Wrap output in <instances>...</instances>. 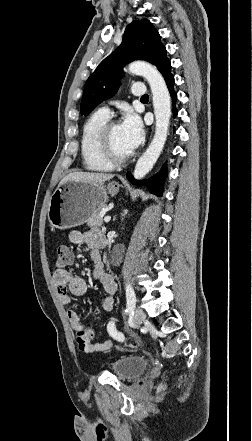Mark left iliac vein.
I'll return each mask as SVG.
<instances>
[{
    "mask_svg": "<svg viewBox=\"0 0 252 441\" xmlns=\"http://www.w3.org/2000/svg\"><path fill=\"white\" fill-rule=\"evenodd\" d=\"M145 318V313L140 307L134 309L133 321L136 325H140Z\"/></svg>",
    "mask_w": 252,
    "mask_h": 441,
    "instance_id": "1",
    "label": "left iliac vein"
}]
</instances>
